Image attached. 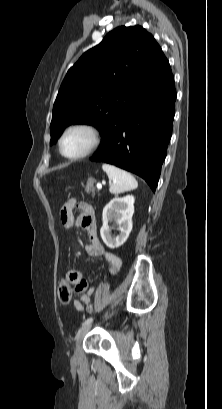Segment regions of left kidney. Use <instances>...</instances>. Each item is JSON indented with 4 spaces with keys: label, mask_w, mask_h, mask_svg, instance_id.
<instances>
[{
    "label": "left kidney",
    "mask_w": 222,
    "mask_h": 409,
    "mask_svg": "<svg viewBox=\"0 0 222 409\" xmlns=\"http://www.w3.org/2000/svg\"><path fill=\"white\" fill-rule=\"evenodd\" d=\"M134 197L127 195L122 198L112 199L103 209V225L100 229V235L105 245L111 249L118 248L128 239L132 230V216L134 213ZM115 221L120 231L119 235L114 237L111 234L109 222Z\"/></svg>",
    "instance_id": "1"
}]
</instances>
